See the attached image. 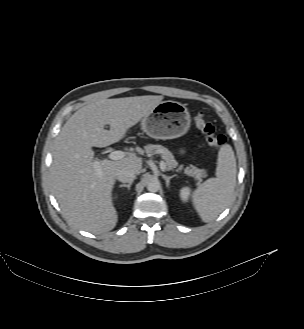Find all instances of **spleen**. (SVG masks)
Instances as JSON below:
<instances>
[{"instance_id":"3e777b00","label":"spleen","mask_w":304,"mask_h":329,"mask_svg":"<svg viewBox=\"0 0 304 329\" xmlns=\"http://www.w3.org/2000/svg\"><path fill=\"white\" fill-rule=\"evenodd\" d=\"M236 158L229 144L218 153L216 177L202 183L193 193V205L203 222H210L229 205L236 185Z\"/></svg>"}]
</instances>
